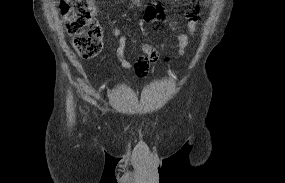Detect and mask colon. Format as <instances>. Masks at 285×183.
Listing matches in <instances>:
<instances>
[{"label":"colon","mask_w":285,"mask_h":183,"mask_svg":"<svg viewBox=\"0 0 285 183\" xmlns=\"http://www.w3.org/2000/svg\"><path fill=\"white\" fill-rule=\"evenodd\" d=\"M84 0H62L60 12L65 22L66 30L73 36V47L77 53L85 58L93 57L102 47L103 30L83 7ZM135 72L144 77L148 68L145 64H137Z\"/></svg>","instance_id":"1"}]
</instances>
